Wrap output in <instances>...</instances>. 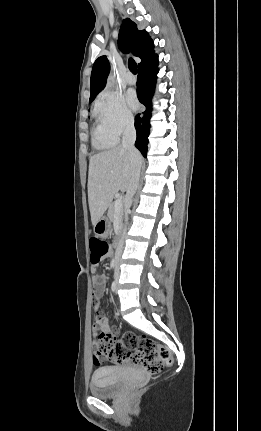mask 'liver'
Segmentation results:
<instances>
[{
	"label": "liver",
	"instance_id": "liver-1",
	"mask_svg": "<svg viewBox=\"0 0 261 431\" xmlns=\"http://www.w3.org/2000/svg\"><path fill=\"white\" fill-rule=\"evenodd\" d=\"M138 158L141 162L140 153ZM133 170L134 160L121 145L90 158L88 203L93 225L103 217L114 195L128 190Z\"/></svg>",
	"mask_w": 261,
	"mask_h": 431
}]
</instances>
